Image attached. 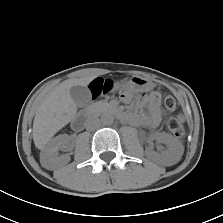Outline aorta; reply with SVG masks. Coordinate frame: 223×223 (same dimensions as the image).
Instances as JSON below:
<instances>
[{"instance_id":"obj_1","label":"aorta","mask_w":223,"mask_h":223,"mask_svg":"<svg viewBox=\"0 0 223 223\" xmlns=\"http://www.w3.org/2000/svg\"><path fill=\"white\" fill-rule=\"evenodd\" d=\"M101 122L104 125H111L114 122V116L111 113H105L101 116Z\"/></svg>"}]
</instances>
